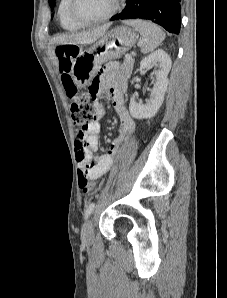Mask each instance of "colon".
<instances>
[{
    "instance_id": "colon-1",
    "label": "colon",
    "mask_w": 227,
    "mask_h": 298,
    "mask_svg": "<svg viewBox=\"0 0 227 298\" xmlns=\"http://www.w3.org/2000/svg\"><path fill=\"white\" fill-rule=\"evenodd\" d=\"M79 48L73 44L59 45L56 49L59 68L62 73V83L66 94L72 98L71 113L72 118L78 130L75 137V147L77 158L80 161L85 160V130H82V125H89L91 117H96V112H89V107H95L94 103H90L89 95L91 92H79L76 85L70 76V71L73 65V60L77 57ZM79 187L85 193L96 191V185L85 175L78 173Z\"/></svg>"
}]
</instances>
